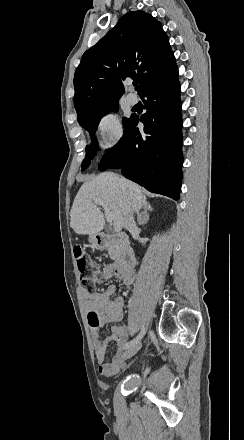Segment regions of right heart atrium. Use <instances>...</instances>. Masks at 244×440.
Here are the masks:
<instances>
[{"mask_svg": "<svg viewBox=\"0 0 244 440\" xmlns=\"http://www.w3.org/2000/svg\"><path fill=\"white\" fill-rule=\"evenodd\" d=\"M97 130L102 144L111 147L116 144L122 136V128L118 116L114 112L102 114L97 120Z\"/></svg>", "mask_w": 244, "mask_h": 440, "instance_id": "d8ad5b80", "label": "right heart atrium"}]
</instances>
